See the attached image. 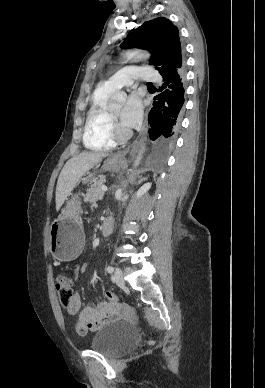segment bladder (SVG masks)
I'll list each match as a JSON object with an SVG mask.
<instances>
[{"instance_id": "1", "label": "bladder", "mask_w": 265, "mask_h": 388, "mask_svg": "<svg viewBox=\"0 0 265 388\" xmlns=\"http://www.w3.org/2000/svg\"><path fill=\"white\" fill-rule=\"evenodd\" d=\"M135 335L134 326L123 320L111 322L99 329L91 341L94 351L115 355L118 351L126 352Z\"/></svg>"}]
</instances>
